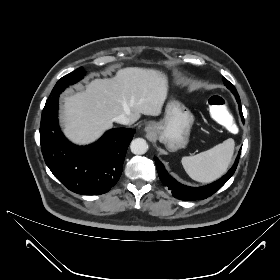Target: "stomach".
Returning a JSON list of instances; mask_svg holds the SVG:
<instances>
[{
	"instance_id": "stomach-1",
	"label": "stomach",
	"mask_w": 280,
	"mask_h": 280,
	"mask_svg": "<svg viewBox=\"0 0 280 280\" xmlns=\"http://www.w3.org/2000/svg\"><path fill=\"white\" fill-rule=\"evenodd\" d=\"M193 123L191 111L173 99L166 106L164 118L153 124L152 133L169 151L174 152L187 145Z\"/></svg>"
}]
</instances>
